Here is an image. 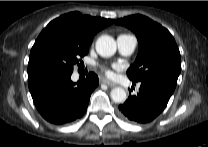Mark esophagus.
<instances>
[{
    "label": "esophagus",
    "instance_id": "1",
    "mask_svg": "<svg viewBox=\"0 0 208 147\" xmlns=\"http://www.w3.org/2000/svg\"><path fill=\"white\" fill-rule=\"evenodd\" d=\"M101 82L104 83V84H106L109 87H115L117 85L116 83H114V82H112V81H110L108 79H105V78H103L101 80Z\"/></svg>",
    "mask_w": 208,
    "mask_h": 147
}]
</instances>
